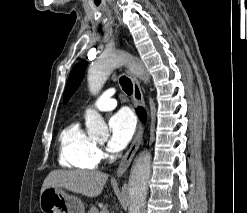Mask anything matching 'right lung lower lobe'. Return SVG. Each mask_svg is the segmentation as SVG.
<instances>
[{
	"mask_svg": "<svg viewBox=\"0 0 247 213\" xmlns=\"http://www.w3.org/2000/svg\"><path fill=\"white\" fill-rule=\"evenodd\" d=\"M137 112L139 113V116L141 119H145V111L142 108H138Z\"/></svg>",
	"mask_w": 247,
	"mask_h": 213,
	"instance_id": "right-lung-lower-lobe-1",
	"label": "right lung lower lobe"
}]
</instances>
